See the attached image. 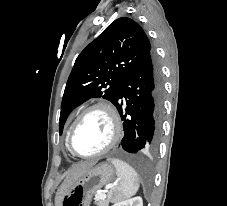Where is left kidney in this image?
<instances>
[{
	"label": "left kidney",
	"mask_w": 227,
	"mask_h": 206,
	"mask_svg": "<svg viewBox=\"0 0 227 206\" xmlns=\"http://www.w3.org/2000/svg\"><path fill=\"white\" fill-rule=\"evenodd\" d=\"M113 206H143V201L141 197H134L132 199L117 202Z\"/></svg>",
	"instance_id": "obj_1"
}]
</instances>
